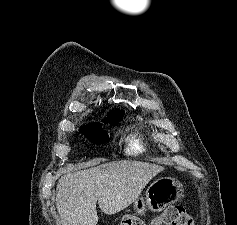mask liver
I'll use <instances>...</instances> for the list:
<instances>
[{
    "label": "liver",
    "mask_w": 237,
    "mask_h": 225,
    "mask_svg": "<svg viewBox=\"0 0 237 225\" xmlns=\"http://www.w3.org/2000/svg\"><path fill=\"white\" fill-rule=\"evenodd\" d=\"M163 170L155 164L117 161L63 175L56 195L62 225H96L99 220L97 202L107 215L124 210Z\"/></svg>",
    "instance_id": "1"
}]
</instances>
